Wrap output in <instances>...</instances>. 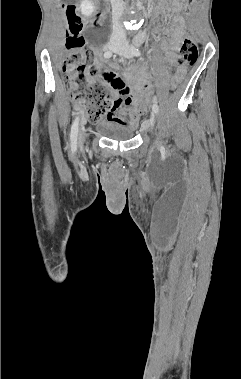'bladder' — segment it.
Listing matches in <instances>:
<instances>
[{
    "mask_svg": "<svg viewBox=\"0 0 241 379\" xmlns=\"http://www.w3.org/2000/svg\"><path fill=\"white\" fill-rule=\"evenodd\" d=\"M99 131L104 136L117 141L130 140L134 136V129L131 126L112 119L104 120L99 126Z\"/></svg>",
    "mask_w": 241,
    "mask_h": 379,
    "instance_id": "bladder-1",
    "label": "bladder"
}]
</instances>
